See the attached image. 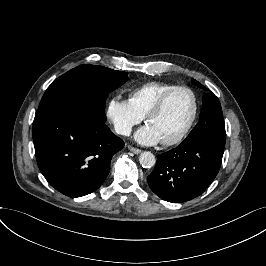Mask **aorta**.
<instances>
[{
	"label": "aorta",
	"mask_w": 266,
	"mask_h": 266,
	"mask_svg": "<svg viewBox=\"0 0 266 266\" xmlns=\"http://www.w3.org/2000/svg\"><path fill=\"white\" fill-rule=\"evenodd\" d=\"M139 162L143 168H151L155 165L156 159L153 153L144 151L139 156Z\"/></svg>",
	"instance_id": "aorta-1"
}]
</instances>
